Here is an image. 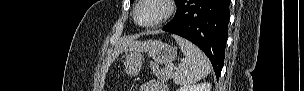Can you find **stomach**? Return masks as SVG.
<instances>
[{
    "mask_svg": "<svg viewBox=\"0 0 304 91\" xmlns=\"http://www.w3.org/2000/svg\"><path fill=\"white\" fill-rule=\"evenodd\" d=\"M143 52H146L157 65L170 64L177 57V50L173 46L161 41H149L143 51L126 53L123 63L128 75L134 76L140 72L143 63Z\"/></svg>",
    "mask_w": 304,
    "mask_h": 91,
    "instance_id": "stomach-1",
    "label": "stomach"
}]
</instances>
